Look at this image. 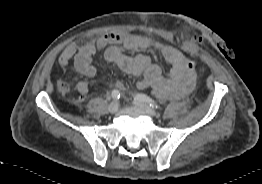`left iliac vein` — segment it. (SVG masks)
<instances>
[{"label": "left iliac vein", "instance_id": "obj_1", "mask_svg": "<svg viewBox=\"0 0 262 184\" xmlns=\"http://www.w3.org/2000/svg\"><path fill=\"white\" fill-rule=\"evenodd\" d=\"M133 104L138 107L139 109L143 110L146 114H148L151 117H156L157 113L147 104L139 101V100H134Z\"/></svg>", "mask_w": 262, "mask_h": 184}]
</instances>
